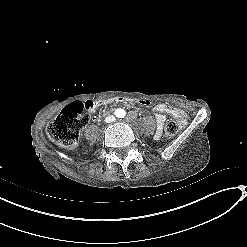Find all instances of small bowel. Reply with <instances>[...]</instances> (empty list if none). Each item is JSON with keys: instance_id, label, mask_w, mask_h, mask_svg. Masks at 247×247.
<instances>
[{"instance_id": "c3829d8e", "label": "small bowel", "mask_w": 247, "mask_h": 247, "mask_svg": "<svg viewBox=\"0 0 247 247\" xmlns=\"http://www.w3.org/2000/svg\"><path fill=\"white\" fill-rule=\"evenodd\" d=\"M151 108L155 111V122L158 133H160L163 129L167 115H171L176 118L179 125L182 126L185 124L186 116L184 112L178 108H174L166 104H155Z\"/></svg>"}]
</instances>
